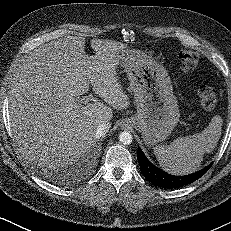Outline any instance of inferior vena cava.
<instances>
[{"label":"inferior vena cava","mask_w":231,"mask_h":231,"mask_svg":"<svg viewBox=\"0 0 231 231\" xmlns=\"http://www.w3.org/2000/svg\"><path fill=\"white\" fill-rule=\"evenodd\" d=\"M111 127V123H102L100 124L97 129H96V138H101L103 137L109 130V128Z\"/></svg>","instance_id":"602c4592"}]
</instances>
